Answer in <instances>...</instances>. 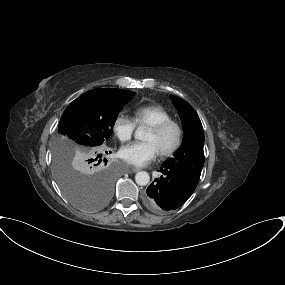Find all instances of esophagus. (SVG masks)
<instances>
[{"label":"esophagus","mask_w":285,"mask_h":285,"mask_svg":"<svg viewBox=\"0 0 285 285\" xmlns=\"http://www.w3.org/2000/svg\"><path fill=\"white\" fill-rule=\"evenodd\" d=\"M140 170H141L140 168H132V169H131V171L134 172V173H135V172H138V171H140Z\"/></svg>","instance_id":"esophagus-1"}]
</instances>
